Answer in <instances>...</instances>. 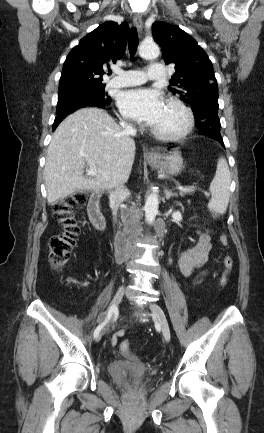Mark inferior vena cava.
I'll list each match as a JSON object with an SVG mask.
<instances>
[{
    "instance_id": "inferior-vena-cava-1",
    "label": "inferior vena cava",
    "mask_w": 264,
    "mask_h": 433,
    "mask_svg": "<svg viewBox=\"0 0 264 433\" xmlns=\"http://www.w3.org/2000/svg\"><path fill=\"white\" fill-rule=\"evenodd\" d=\"M120 125L123 129L124 134L126 135L136 134V129L126 121H121ZM125 182L126 181H119L118 183H116L111 187L112 190L110 191V202H111V208H112L114 218H116L119 206L129 194L128 189L124 185Z\"/></svg>"
}]
</instances>
